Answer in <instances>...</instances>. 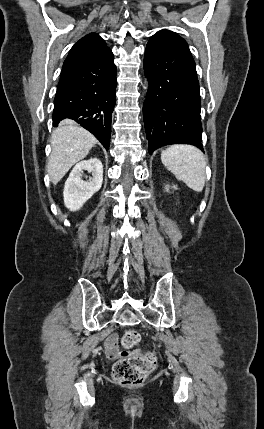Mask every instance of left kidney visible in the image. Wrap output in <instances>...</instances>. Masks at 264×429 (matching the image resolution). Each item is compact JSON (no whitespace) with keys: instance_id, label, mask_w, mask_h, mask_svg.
Returning <instances> with one entry per match:
<instances>
[{"instance_id":"obj_1","label":"left kidney","mask_w":264,"mask_h":429,"mask_svg":"<svg viewBox=\"0 0 264 429\" xmlns=\"http://www.w3.org/2000/svg\"><path fill=\"white\" fill-rule=\"evenodd\" d=\"M174 188L176 189V187H174ZM166 190H167V191L169 190V186H167V187H166Z\"/></svg>"}]
</instances>
